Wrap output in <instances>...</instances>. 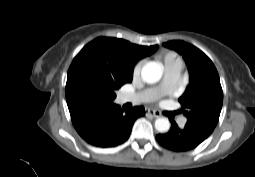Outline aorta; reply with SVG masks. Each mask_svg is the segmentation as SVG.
<instances>
[{
    "instance_id": "1",
    "label": "aorta",
    "mask_w": 255,
    "mask_h": 177,
    "mask_svg": "<svg viewBox=\"0 0 255 177\" xmlns=\"http://www.w3.org/2000/svg\"><path fill=\"white\" fill-rule=\"evenodd\" d=\"M162 73V69L158 65L154 63H147L142 68L141 77L144 82L152 84L161 79ZM155 129L160 133L168 132L170 129L169 120L167 118L156 119Z\"/></svg>"
}]
</instances>
